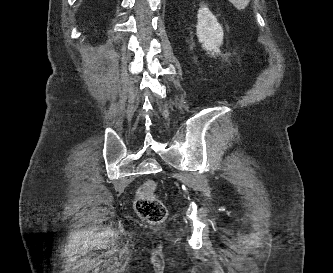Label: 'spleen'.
Here are the masks:
<instances>
[{
    "label": "spleen",
    "instance_id": "3e777b00",
    "mask_svg": "<svg viewBox=\"0 0 333 273\" xmlns=\"http://www.w3.org/2000/svg\"><path fill=\"white\" fill-rule=\"evenodd\" d=\"M238 10H242L249 4L250 0H229Z\"/></svg>",
    "mask_w": 333,
    "mask_h": 273
}]
</instances>
